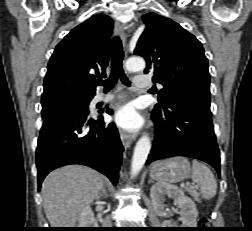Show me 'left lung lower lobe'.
Masks as SVG:
<instances>
[{
  "mask_svg": "<svg viewBox=\"0 0 252 231\" xmlns=\"http://www.w3.org/2000/svg\"><path fill=\"white\" fill-rule=\"evenodd\" d=\"M157 137L146 164L188 156L210 164L220 176L219 148L211 120L210 97L198 92L172 96L165 107L152 111Z\"/></svg>",
  "mask_w": 252,
  "mask_h": 231,
  "instance_id": "1",
  "label": "left lung lower lobe"
}]
</instances>
